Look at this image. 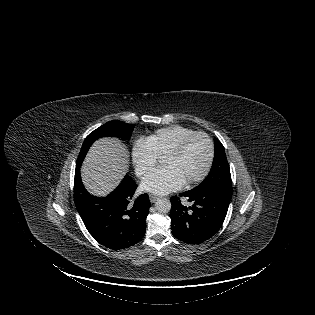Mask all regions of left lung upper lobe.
I'll list each match as a JSON object with an SVG mask.
<instances>
[{
	"label": "left lung upper lobe",
	"mask_w": 315,
	"mask_h": 315,
	"mask_svg": "<svg viewBox=\"0 0 315 315\" xmlns=\"http://www.w3.org/2000/svg\"><path fill=\"white\" fill-rule=\"evenodd\" d=\"M214 143L215 153L212 169L207 178L197 187L232 192L230 167L228 165L224 147L217 138H214Z\"/></svg>",
	"instance_id": "obj_1"
}]
</instances>
